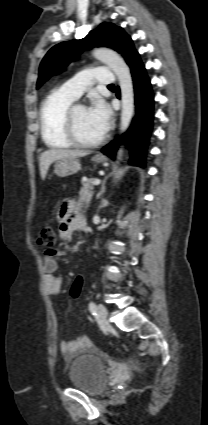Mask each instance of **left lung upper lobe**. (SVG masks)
I'll use <instances>...</instances> for the list:
<instances>
[{"label":"left lung upper lobe","mask_w":208,"mask_h":425,"mask_svg":"<svg viewBox=\"0 0 208 425\" xmlns=\"http://www.w3.org/2000/svg\"><path fill=\"white\" fill-rule=\"evenodd\" d=\"M96 46H105L117 51L124 57L129 66L139 57L131 38L121 27L113 23H102L81 40L62 42L52 47L41 61L37 88L50 76L61 72L83 50Z\"/></svg>","instance_id":"5c2ea615"}]
</instances>
